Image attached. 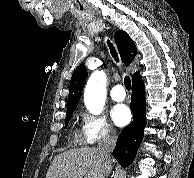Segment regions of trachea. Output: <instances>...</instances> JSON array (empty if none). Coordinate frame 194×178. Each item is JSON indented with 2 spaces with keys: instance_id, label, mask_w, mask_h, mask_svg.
<instances>
[{
  "instance_id": "obj_1",
  "label": "trachea",
  "mask_w": 194,
  "mask_h": 178,
  "mask_svg": "<svg viewBox=\"0 0 194 178\" xmlns=\"http://www.w3.org/2000/svg\"><path fill=\"white\" fill-rule=\"evenodd\" d=\"M107 43H108V47L110 49L112 57L115 59L116 62H118L119 59H118V55H117V52H116L115 48L113 47L112 43L109 40H107ZM124 85H125L126 89L128 91H130V89H131L130 77L125 76V78H124Z\"/></svg>"
}]
</instances>
